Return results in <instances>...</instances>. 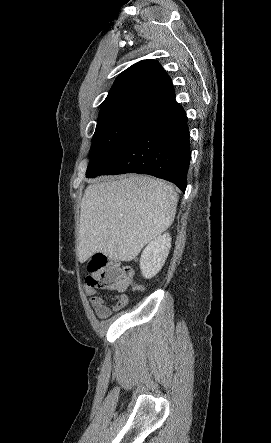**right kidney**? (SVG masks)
<instances>
[{"instance_id":"1","label":"right kidney","mask_w":271,"mask_h":443,"mask_svg":"<svg viewBox=\"0 0 271 443\" xmlns=\"http://www.w3.org/2000/svg\"><path fill=\"white\" fill-rule=\"evenodd\" d=\"M170 233L157 235L152 239L145 249H143L140 257V269L144 277H153L160 271L171 247Z\"/></svg>"}]
</instances>
